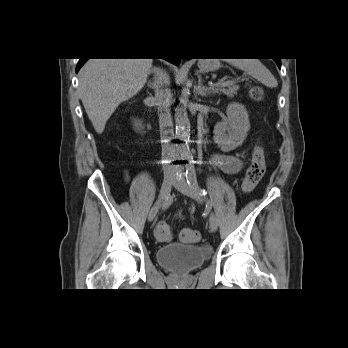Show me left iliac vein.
Returning a JSON list of instances; mask_svg holds the SVG:
<instances>
[{"label":"left iliac vein","mask_w":348,"mask_h":348,"mask_svg":"<svg viewBox=\"0 0 348 348\" xmlns=\"http://www.w3.org/2000/svg\"><path fill=\"white\" fill-rule=\"evenodd\" d=\"M174 187L179 190L181 193L193 198L194 200H196L197 202L202 203L203 202V197L202 195L196 191L195 189H193L187 182L185 179H181V180H175L173 183ZM209 224H210V228L212 231H216L218 228V220L217 217L214 214L210 215V219H209Z\"/></svg>","instance_id":"left-iliac-vein-1"}]
</instances>
